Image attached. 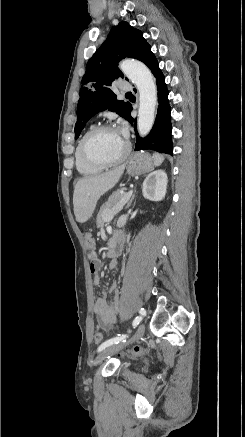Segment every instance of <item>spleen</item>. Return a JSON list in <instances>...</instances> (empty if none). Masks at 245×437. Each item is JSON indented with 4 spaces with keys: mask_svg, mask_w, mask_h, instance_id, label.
I'll return each instance as SVG.
<instances>
[{
    "mask_svg": "<svg viewBox=\"0 0 245 437\" xmlns=\"http://www.w3.org/2000/svg\"><path fill=\"white\" fill-rule=\"evenodd\" d=\"M153 159H154V164H155L156 166H159V165H161L162 162L164 161V156H163L162 154H159V153L155 152V153L153 154Z\"/></svg>",
    "mask_w": 245,
    "mask_h": 437,
    "instance_id": "obj_1",
    "label": "spleen"
}]
</instances>
